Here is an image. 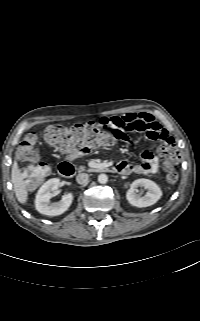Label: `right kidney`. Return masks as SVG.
I'll return each instance as SVG.
<instances>
[{"instance_id": "right-kidney-1", "label": "right kidney", "mask_w": 200, "mask_h": 321, "mask_svg": "<svg viewBox=\"0 0 200 321\" xmlns=\"http://www.w3.org/2000/svg\"><path fill=\"white\" fill-rule=\"evenodd\" d=\"M60 184V179L53 178L40 187L35 199V207L39 213L57 216L68 210L73 201L72 193L65 194L59 202L50 203V199L54 196L53 192L60 187Z\"/></svg>"}]
</instances>
